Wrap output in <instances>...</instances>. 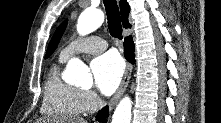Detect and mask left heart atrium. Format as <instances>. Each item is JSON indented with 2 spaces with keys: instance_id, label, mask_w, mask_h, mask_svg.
<instances>
[{
  "instance_id": "obj_1",
  "label": "left heart atrium",
  "mask_w": 221,
  "mask_h": 123,
  "mask_svg": "<svg viewBox=\"0 0 221 123\" xmlns=\"http://www.w3.org/2000/svg\"><path fill=\"white\" fill-rule=\"evenodd\" d=\"M95 87L104 95L112 94L118 87L124 72V64L115 53H105L91 62Z\"/></svg>"
}]
</instances>
